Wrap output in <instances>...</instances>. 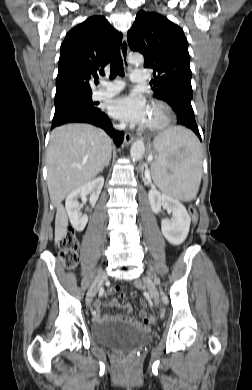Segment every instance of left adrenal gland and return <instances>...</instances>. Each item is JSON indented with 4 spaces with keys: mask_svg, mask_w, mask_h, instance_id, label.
<instances>
[{
    "mask_svg": "<svg viewBox=\"0 0 252 390\" xmlns=\"http://www.w3.org/2000/svg\"><path fill=\"white\" fill-rule=\"evenodd\" d=\"M142 179H143V181L145 182V184L147 183V181H146V177H144L143 176V170H142Z\"/></svg>",
    "mask_w": 252,
    "mask_h": 390,
    "instance_id": "a2214340",
    "label": "left adrenal gland"
}]
</instances>
